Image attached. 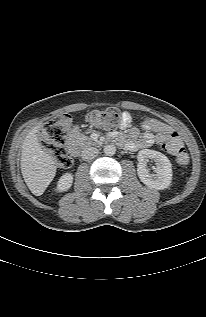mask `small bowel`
<instances>
[{
    "label": "small bowel",
    "mask_w": 206,
    "mask_h": 317,
    "mask_svg": "<svg viewBox=\"0 0 206 317\" xmlns=\"http://www.w3.org/2000/svg\"><path fill=\"white\" fill-rule=\"evenodd\" d=\"M131 123L132 116L130 113H123L121 127L127 128L126 139L120 135L117 137L118 140L124 142L130 150L150 147L155 141L161 142L164 137L174 132L172 127L157 119L145 118L141 124L144 133L142 137L138 139L139 129L130 127Z\"/></svg>",
    "instance_id": "obj_1"
}]
</instances>
